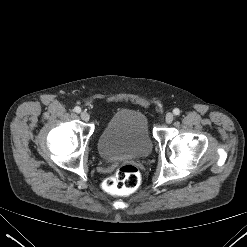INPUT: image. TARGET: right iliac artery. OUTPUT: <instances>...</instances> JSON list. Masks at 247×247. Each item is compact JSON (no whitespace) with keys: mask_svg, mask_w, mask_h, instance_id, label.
Instances as JSON below:
<instances>
[{"mask_svg":"<svg viewBox=\"0 0 247 247\" xmlns=\"http://www.w3.org/2000/svg\"><path fill=\"white\" fill-rule=\"evenodd\" d=\"M74 111H75L76 113H80V112H81V108H80L79 106H76V107L74 108Z\"/></svg>","mask_w":247,"mask_h":247,"instance_id":"82829eb1","label":"right iliac artery"}]
</instances>
